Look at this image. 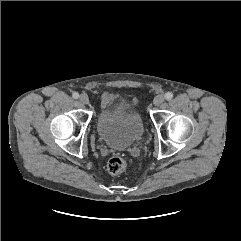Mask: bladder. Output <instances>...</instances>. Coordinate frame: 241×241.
I'll return each mask as SVG.
<instances>
[{
	"label": "bladder",
	"instance_id": "bladder-1",
	"mask_svg": "<svg viewBox=\"0 0 241 241\" xmlns=\"http://www.w3.org/2000/svg\"><path fill=\"white\" fill-rule=\"evenodd\" d=\"M97 132L108 146L123 150L143 135L144 125L137 111H127L123 105L103 108L97 117Z\"/></svg>",
	"mask_w": 241,
	"mask_h": 241
}]
</instances>
